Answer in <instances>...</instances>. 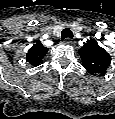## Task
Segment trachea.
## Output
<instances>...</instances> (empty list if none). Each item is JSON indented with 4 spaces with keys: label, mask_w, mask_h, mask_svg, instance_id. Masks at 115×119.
Wrapping results in <instances>:
<instances>
[{
    "label": "trachea",
    "mask_w": 115,
    "mask_h": 119,
    "mask_svg": "<svg viewBox=\"0 0 115 119\" xmlns=\"http://www.w3.org/2000/svg\"><path fill=\"white\" fill-rule=\"evenodd\" d=\"M72 37H73V33L69 28H65L62 31V34H61V39L62 40L66 39V38H72Z\"/></svg>",
    "instance_id": "3493384b"
}]
</instances>
